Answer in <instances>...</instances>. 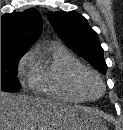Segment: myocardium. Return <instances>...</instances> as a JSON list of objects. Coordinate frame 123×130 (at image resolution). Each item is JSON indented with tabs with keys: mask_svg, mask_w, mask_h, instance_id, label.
Instances as JSON below:
<instances>
[{
	"mask_svg": "<svg viewBox=\"0 0 123 130\" xmlns=\"http://www.w3.org/2000/svg\"><path fill=\"white\" fill-rule=\"evenodd\" d=\"M76 89L87 99L99 98L105 89L104 82L100 75L89 68H84L74 75Z\"/></svg>",
	"mask_w": 123,
	"mask_h": 130,
	"instance_id": "1",
	"label": "myocardium"
}]
</instances>
